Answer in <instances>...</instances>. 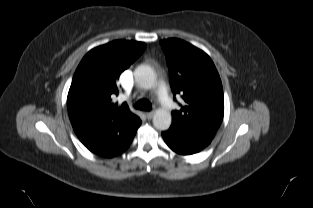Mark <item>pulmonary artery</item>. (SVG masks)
I'll use <instances>...</instances> for the list:
<instances>
[{
  "label": "pulmonary artery",
  "instance_id": "pulmonary-artery-1",
  "mask_svg": "<svg viewBox=\"0 0 313 208\" xmlns=\"http://www.w3.org/2000/svg\"><path fill=\"white\" fill-rule=\"evenodd\" d=\"M157 92H158V97H159L160 102L166 109H170L174 106L168 94V89H167L166 84L164 83L159 84Z\"/></svg>",
  "mask_w": 313,
  "mask_h": 208
}]
</instances>
